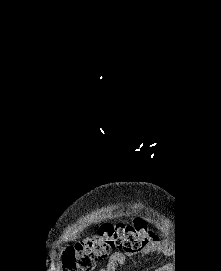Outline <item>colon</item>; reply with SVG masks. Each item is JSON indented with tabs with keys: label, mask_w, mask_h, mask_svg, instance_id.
I'll return each instance as SVG.
<instances>
[{
	"label": "colon",
	"mask_w": 221,
	"mask_h": 271,
	"mask_svg": "<svg viewBox=\"0 0 221 271\" xmlns=\"http://www.w3.org/2000/svg\"><path fill=\"white\" fill-rule=\"evenodd\" d=\"M153 237V232L145 228L140 219L131 223H105L97 234L66 246L60 253V265L63 271H92L98 262L106 259L114 250L138 252Z\"/></svg>",
	"instance_id": "obj_1"
}]
</instances>
